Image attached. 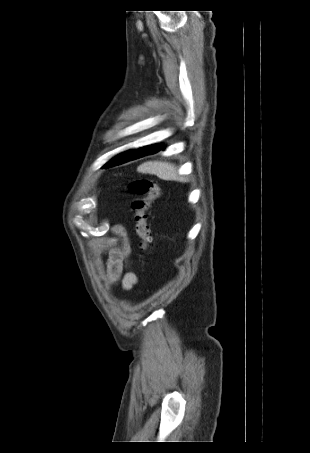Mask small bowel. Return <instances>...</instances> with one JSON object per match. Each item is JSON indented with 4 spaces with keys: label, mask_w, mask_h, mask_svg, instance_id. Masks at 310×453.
Masks as SVG:
<instances>
[{
    "label": "small bowel",
    "mask_w": 310,
    "mask_h": 453,
    "mask_svg": "<svg viewBox=\"0 0 310 453\" xmlns=\"http://www.w3.org/2000/svg\"><path fill=\"white\" fill-rule=\"evenodd\" d=\"M114 235L119 238L120 245L109 251L108 258L104 260L97 249L98 264L101 268L103 278L108 285L120 284L124 290L132 289L138 281L137 275L129 270L123 273L128 267L131 245L128 234L123 226L116 225L112 229Z\"/></svg>",
    "instance_id": "1"
}]
</instances>
